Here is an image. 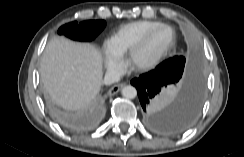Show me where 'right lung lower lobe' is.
I'll return each instance as SVG.
<instances>
[{
    "label": "right lung lower lobe",
    "instance_id": "obj_1",
    "mask_svg": "<svg viewBox=\"0 0 244 157\" xmlns=\"http://www.w3.org/2000/svg\"><path fill=\"white\" fill-rule=\"evenodd\" d=\"M58 120L63 126L71 130H77L80 127L79 123L71 118L59 117Z\"/></svg>",
    "mask_w": 244,
    "mask_h": 157
}]
</instances>
